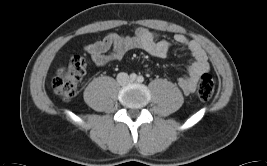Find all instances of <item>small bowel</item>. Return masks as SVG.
<instances>
[{
  "label": "small bowel",
  "instance_id": "c3829d8e",
  "mask_svg": "<svg viewBox=\"0 0 267 166\" xmlns=\"http://www.w3.org/2000/svg\"><path fill=\"white\" fill-rule=\"evenodd\" d=\"M174 40L186 46L191 54L188 74L178 78L179 88L186 94L193 93L199 78L209 70L207 56L200 44L189 39L184 34H176ZM133 49H140L152 56L166 58L169 56L171 43L159 40L152 30L137 28L134 35L111 33L102 40L87 44L84 50L97 66H105L113 61H120L124 55Z\"/></svg>",
  "mask_w": 267,
  "mask_h": 166
}]
</instances>
